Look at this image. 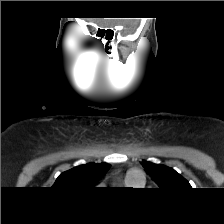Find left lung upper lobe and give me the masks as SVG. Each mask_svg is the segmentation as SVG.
Wrapping results in <instances>:
<instances>
[{
	"instance_id": "left-lung-upper-lobe-1",
	"label": "left lung upper lobe",
	"mask_w": 224,
	"mask_h": 224,
	"mask_svg": "<svg viewBox=\"0 0 224 224\" xmlns=\"http://www.w3.org/2000/svg\"><path fill=\"white\" fill-rule=\"evenodd\" d=\"M143 167L161 189L180 191L191 188L189 182L170 167L147 161H143Z\"/></svg>"
}]
</instances>
